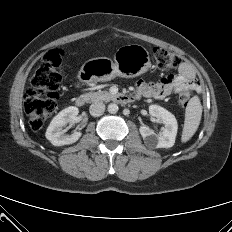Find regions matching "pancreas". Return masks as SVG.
I'll return each instance as SVG.
<instances>
[{
	"instance_id": "obj_1",
	"label": "pancreas",
	"mask_w": 232,
	"mask_h": 232,
	"mask_svg": "<svg viewBox=\"0 0 232 232\" xmlns=\"http://www.w3.org/2000/svg\"><path fill=\"white\" fill-rule=\"evenodd\" d=\"M89 101L91 102H98V101H109L114 99V95L108 91H97V92H90L85 95Z\"/></svg>"
}]
</instances>
